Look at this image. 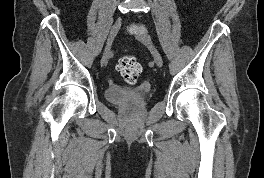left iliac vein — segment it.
<instances>
[{"label": "left iliac vein", "instance_id": "left-iliac-vein-1", "mask_svg": "<svg viewBox=\"0 0 264 178\" xmlns=\"http://www.w3.org/2000/svg\"><path fill=\"white\" fill-rule=\"evenodd\" d=\"M135 35H136V38L140 42H142L144 45H146L150 49L156 65L158 67H162V65H163L162 56L159 53V51L157 50V48L154 46L152 39H151V36L143 30L137 31Z\"/></svg>", "mask_w": 264, "mask_h": 178}]
</instances>
